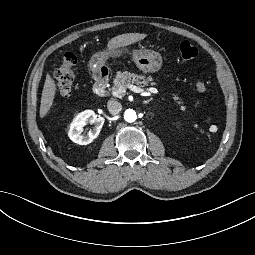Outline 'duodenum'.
I'll list each match as a JSON object with an SVG mask.
<instances>
[{"mask_svg":"<svg viewBox=\"0 0 255 255\" xmlns=\"http://www.w3.org/2000/svg\"><path fill=\"white\" fill-rule=\"evenodd\" d=\"M108 82V73L104 69H99L95 72L94 88L97 94L103 95Z\"/></svg>","mask_w":255,"mask_h":255,"instance_id":"duodenum-1","label":"duodenum"}]
</instances>
